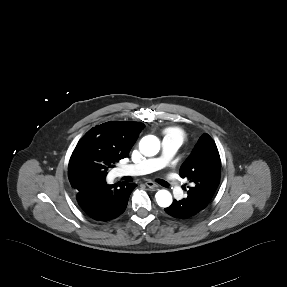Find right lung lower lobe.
<instances>
[{"instance_id": "98d812e1", "label": "right lung lower lobe", "mask_w": 287, "mask_h": 287, "mask_svg": "<svg viewBox=\"0 0 287 287\" xmlns=\"http://www.w3.org/2000/svg\"><path fill=\"white\" fill-rule=\"evenodd\" d=\"M136 184L108 185L105 178H85L78 182L74 195L84 214L97 221H108L121 215Z\"/></svg>"}]
</instances>
